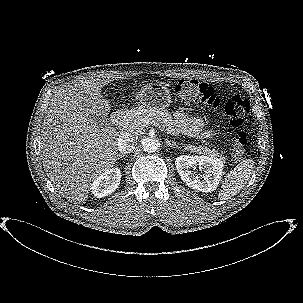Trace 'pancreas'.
Segmentation results:
<instances>
[{
  "label": "pancreas",
  "instance_id": "pancreas-1",
  "mask_svg": "<svg viewBox=\"0 0 303 303\" xmlns=\"http://www.w3.org/2000/svg\"><path fill=\"white\" fill-rule=\"evenodd\" d=\"M157 122L162 125L163 128H166L169 134L175 132V122L168 111L165 110H146L142 108L133 109L126 113V117L122 122V126L125 130L130 132H139L144 127L150 124V122ZM185 149L190 150L191 152L208 155L213 158L225 160V157L222 156L217 150L210 149L206 146H194L187 145Z\"/></svg>",
  "mask_w": 303,
  "mask_h": 303
}]
</instances>
